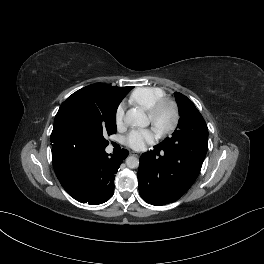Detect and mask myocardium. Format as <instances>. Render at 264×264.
<instances>
[{
	"instance_id": "f54148a6",
	"label": "myocardium",
	"mask_w": 264,
	"mask_h": 264,
	"mask_svg": "<svg viewBox=\"0 0 264 264\" xmlns=\"http://www.w3.org/2000/svg\"><path fill=\"white\" fill-rule=\"evenodd\" d=\"M168 109L170 111L171 119L166 125L159 122L161 113ZM148 115L151 123L156 128L158 133L162 136L173 133L180 122V110L178 104L171 98L163 97L158 100L149 110Z\"/></svg>"
}]
</instances>
